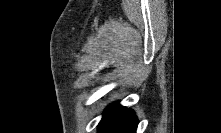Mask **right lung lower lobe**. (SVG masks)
<instances>
[{"label":"right lung lower lobe","instance_id":"obj_1","mask_svg":"<svg viewBox=\"0 0 221 133\" xmlns=\"http://www.w3.org/2000/svg\"><path fill=\"white\" fill-rule=\"evenodd\" d=\"M137 118L134 112L119 104L110 105L99 124V133H135Z\"/></svg>","mask_w":221,"mask_h":133}]
</instances>
